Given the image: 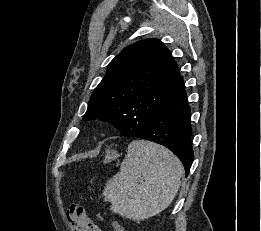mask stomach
<instances>
[{
  "instance_id": "stomach-1",
  "label": "stomach",
  "mask_w": 261,
  "mask_h": 231,
  "mask_svg": "<svg viewBox=\"0 0 261 231\" xmlns=\"http://www.w3.org/2000/svg\"><path fill=\"white\" fill-rule=\"evenodd\" d=\"M117 157H118V153L115 150H109L106 153L104 162L108 163V162H110L112 160H115Z\"/></svg>"
}]
</instances>
